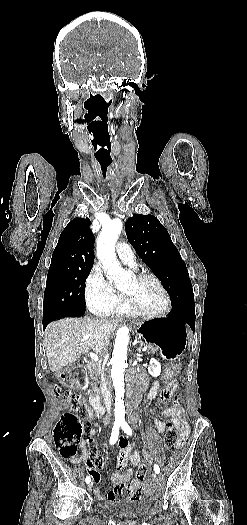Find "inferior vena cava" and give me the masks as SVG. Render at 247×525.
<instances>
[{
    "mask_svg": "<svg viewBox=\"0 0 247 525\" xmlns=\"http://www.w3.org/2000/svg\"><path fill=\"white\" fill-rule=\"evenodd\" d=\"M105 375H106V373L104 371L102 379H105ZM109 397H110V395H109Z\"/></svg>",
    "mask_w": 247,
    "mask_h": 525,
    "instance_id": "602c4592",
    "label": "inferior vena cava"
}]
</instances>
